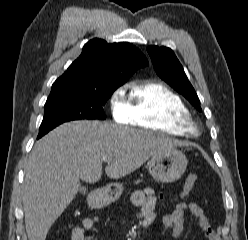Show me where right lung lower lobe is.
Masks as SVG:
<instances>
[{
    "label": "right lung lower lobe",
    "instance_id": "1",
    "mask_svg": "<svg viewBox=\"0 0 248 240\" xmlns=\"http://www.w3.org/2000/svg\"><path fill=\"white\" fill-rule=\"evenodd\" d=\"M50 130H43V131H39L38 137L37 139L41 138L43 135H45L46 133H48Z\"/></svg>",
    "mask_w": 248,
    "mask_h": 240
}]
</instances>
